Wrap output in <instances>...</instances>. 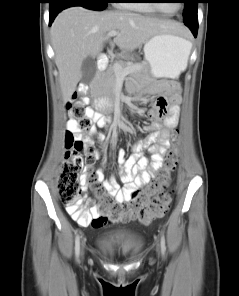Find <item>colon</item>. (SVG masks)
Wrapping results in <instances>:
<instances>
[{
    "mask_svg": "<svg viewBox=\"0 0 239 296\" xmlns=\"http://www.w3.org/2000/svg\"><path fill=\"white\" fill-rule=\"evenodd\" d=\"M70 121H74L77 129L88 133L92 129L88 109L79 101L71 103L68 107ZM173 147L165 158V170L160 172L157 179L147 188L135 192L128 203L117 202L112 195H108L101 184L98 172L95 169L97 153L88 137L76 136L68 131L65 137V154L61 165V174L58 180V189L61 200L71 215L79 221H89L90 214L82 205V188L80 181L85 171V179L92 187L94 200L100 213L98 222L106 223L118 221L123 215H131L141 223H149L161 217L170 207L172 191L169 187V172L178 162L180 143L179 131L171 135ZM86 156V165L81 152Z\"/></svg>",
    "mask_w": 239,
    "mask_h": 296,
    "instance_id": "obj_1",
    "label": "colon"
}]
</instances>
